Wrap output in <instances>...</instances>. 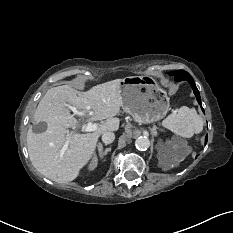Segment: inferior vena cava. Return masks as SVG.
Returning <instances> with one entry per match:
<instances>
[{
	"label": "inferior vena cava",
	"mask_w": 233,
	"mask_h": 233,
	"mask_svg": "<svg viewBox=\"0 0 233 233\" xmlns=\"http://www.w3.org/2000/svg\"><path fill=\"white\" fill-rule=\"evenodd\" d=\"M115 139V134L113 132H104L102 134V141L105 143V144H110L114 141Z\"/></svg>",
	"instance_id": "1"
}]
</instances>
